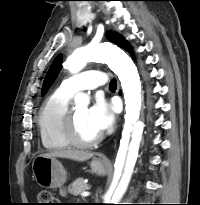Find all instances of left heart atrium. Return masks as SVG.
<instances>
[{
	"instance_id": "left-heart-atrium-1",
	"label": "left heart atrium",
	"mask_w": 200,
	"mask_h": 205,
	"mask_svg": "<svg viewBox=\"0 0 200 205\" xmlns=\"http://www.w3.org/2000/svg\"><path fill=\"white\" fill-rule=\"evenodd\" d=\"M88 116L93 127L99 133H103L110 129L115 121V108L98 97L88 109Z\"/></svg>"
}]
</instances>
